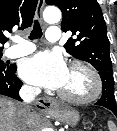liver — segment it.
Returning <instances> with one entry per match:
<instances>
[{"instance_id":"liver-1","label":"liver","mask_w":117,"mask_h":131,"mask_svg":"<svg viewBox=\"0 0 117 131\" xmlns=\"http://www.w3.org/2000/svg\"><path fill=\"white\" fill-rule=\"evenodd\" d=\"M20 103L11 99L0 97V131H17L21 121ZM37 115L30 113L26 120V127L35 125Z\"/></svg>"}]
</instances>
